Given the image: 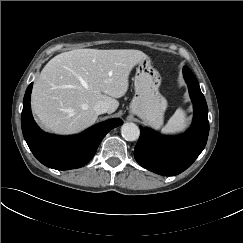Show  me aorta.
Instances as JSON below:
<instances>
[{
    "mask_svg": "<svg viewBox=\"0 0 243 243\" xmlns=\"http://www.w3.org/2000/svg\"><path fill=\"white\" fill-rule=\"evenodd\" d=\"M122 137L127 141H135L140 136L139 127L132 122L124 123L121 127Z\"/></svg>",
    "mask_w": 243,
    "mask_h": 243,
    "instance_id": "obj_1",
    "label": "aorta"
}]
</instances>
